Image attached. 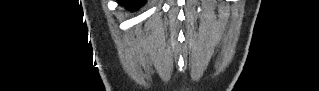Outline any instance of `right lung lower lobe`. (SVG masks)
Instances as JSON below:
<instances>
[{
    "label": "right lung lower lobe",
    "mask_w": 319,
    "mask_h": 91,
    "mask_svg": "<svg viewBox=\"0 0 319 91\" xmlns=\"http://www.w3.org/2000/svg\"><path fill=\"white\" fill-rule=\"evenodd\" d=\"M118 2L126 7L138 8L141 7L146 2V0H118Z\"/></svg>",
    "instance_id": "98d812e1"
}]
</instances>
